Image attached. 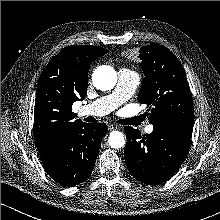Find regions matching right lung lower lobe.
I'll return each mask as SVG.
<instances>
[{
  "label": "right lung lower lobe",
  "mask_w": 220,
  "mask_h": 220,
  "mask_svg": "<svg viewBox=\"0 0 220 220\" xmlns=\"http://www.w3.org/2000/svg\"><path fill=\"white\" fill-rule=\"evenodd\" d=\"M107 131L105 124L83 122L60 136L39 152L48 175L66 187L82 183L93 170Z\"/></svg>",
  "instance_id": "1"
}]
</instances>
